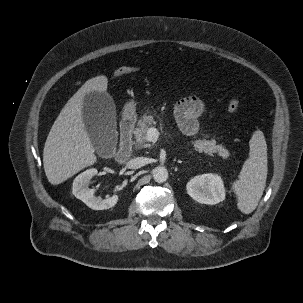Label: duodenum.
<instances>
[{"label": "duodenum", "instance_id": "duodenum-1", "mask_svg": "<svg viewBox=\"0 0 303 303\" xmlns=\"http://www.w3.org/2000/svg\"><path fill=\"white\" fill-rule=\"evenodd\" d=\"M135 120L132 117H125L120 124V144L116 153V160L123 163L132 154V134Z\"/></svg>", "mask_w": 303, "mask_h": 303}]
</instances>
